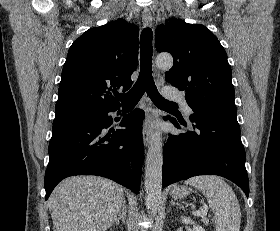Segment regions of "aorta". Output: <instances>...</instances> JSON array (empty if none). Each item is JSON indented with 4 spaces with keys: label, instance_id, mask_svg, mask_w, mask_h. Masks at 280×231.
<instances>
[{
    "label": "aorta",
    "instance_id": "obj_1",
    "mask_svg": "<svg viewBox=\"0 0 280 231\" xmlns=\"http://www.w3.org/2000/svg\"><path fill=\"white\" fill-rule=\"evenodd\" d=\"M158 68H171L173 58L170 54H159L155 58ZM162 165H163V143L160 131H154L148 153L146 155L145 167V203L147 209L155 213L158 211L162 195Z\"/></svg>",
    "mask_w": 280,
    "mask_h": 231
}]
</instances>
